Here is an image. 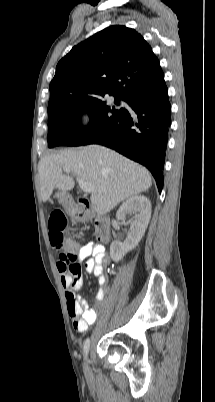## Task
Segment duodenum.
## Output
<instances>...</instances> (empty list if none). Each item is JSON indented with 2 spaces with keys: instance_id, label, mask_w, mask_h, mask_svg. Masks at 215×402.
Wrapping results in <instances>:
<instances>
[{
  "instance_id": "1",
  "label": "duodenum",
  "mask_w": 215,
  "mask_h": 402,
  "mask_svg": "<svg viewBox=\"0 0 215 402\" xmlns=\"http://www.w3.org/2000/svg\"><path fill=\"white\" fill-rule=\"evenodd\" d=\"M68 211L73 219L77 221L94 220L95 234L98 241L108 243L111 239V223L110 220L100 214L92 211L87 201L79 199L74 203H70Z\"/></svg>"
}]
</instances>
